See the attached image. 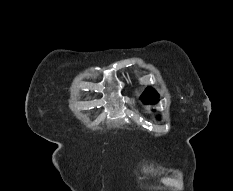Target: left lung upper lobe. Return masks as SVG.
Masks as SVG:
<instances>
[{
  "label": "left lung upper lobe",
  "instance_id": "5c2ea615",
  "mask_svg": "<svg viewBox=\"0 0 233 191\" xmlns=\"http://www.w3.org/2000/svg\"><path fill=\"white\" fill-rule=\"evenodd\" d=\"M158 97V93L151 87L146 88L141 95V99L144 101V103L148 104L156 103L158 101Z\"/></svg>",
  "mask_w": 233,
  "mask_h": 191
}]
</instances>
